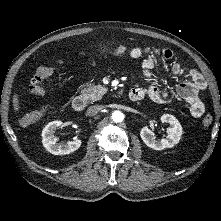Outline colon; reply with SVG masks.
Listing matches in <instances>:
<instances>
[{
	"mask_svg": "<svg viewBox=\"0 0 221 221\" xmlns=\"http://www.w3.org/2000/svg\"><path fill=\"white\" fill-rule=\"evenodd\" d=\"M102 49H111L117 51H128L129 47L124 45H103ZM55 66L54 65H46L38 68V70L32 75L29 80L28 89L31 93L35 95H44L47 92L46 87L44 86L43 82L48 77H50L54 72ZM44 114V110H37L30 112L23 116L20 119V125L23 127L32 125L39 121ZM213 122V118L210 115H206L202 120V125L205 129H208Z\"/></svg>",
	"mask_w": 221,
	"mask_h": 221,
	"instance_id": "5ec220e1",
	"label": "colon"
}]
</instances>
